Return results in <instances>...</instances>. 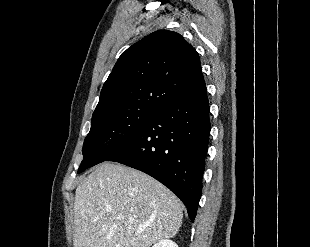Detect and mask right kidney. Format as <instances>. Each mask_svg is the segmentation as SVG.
<instances>
[{"label":"right kidney","mask_w":310,"mask_h":247,"mask_svg":"<svg viewBox=\"0 0 310 247\" xmlns=\"http://www.w3.org/2000/svg\"><path fill=\"white\" fill-rule=\"evenodd\" d=\"M152 247H178V245L169 239H163L154 244Z\"/></svg>","instance_id":"obj_1"}]
</instances>
